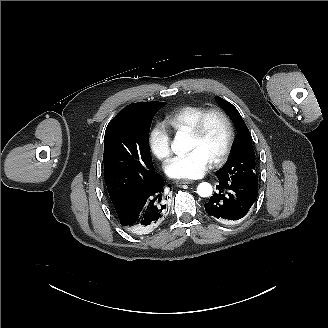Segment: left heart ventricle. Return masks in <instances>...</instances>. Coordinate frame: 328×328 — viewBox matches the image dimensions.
<instances>
[{
    "instance_id": "b2bd125f",
    "label": "left heart ventricle",
    "mask_w": 328,
    "mask_h": 328,
    "mask_svg": "<svg viewBox=\"0 0 328 328\" xmlns=\"http://www.w3.org/2000/svg\"><path fill=\"white\" fill-rule=\"evenodd\" d=\"M228 135L229 131L225 121L218 116H213L208 120L200 137L195 138L189 134L188 151L200 150L213 161L224 150Z\"/></svg>"
}]
</instances>
